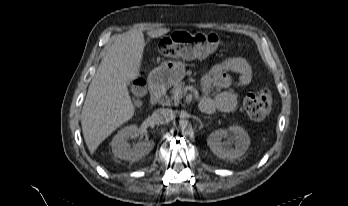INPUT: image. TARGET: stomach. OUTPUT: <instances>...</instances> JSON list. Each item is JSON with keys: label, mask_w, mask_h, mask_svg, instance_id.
<instances>
[{"label": "stomach", "mask_w": 348, "mask_h": 206, "mask_svg": "<svg viewBox=\"0 0 348 206\" xmlns=\"http://www.w3.org/2000/svg\"><path fill=\"white\" fill-rule=\"evenodd\" d=\"M187 39L182 42L185 57L205 58L212 47L217 45L216 41L208 40L207 35H186ZM185 76V66L181 61L168 60L152 70L150 77L161 86H171L180 82Z\"/></svg>", "instance_id": "obj_1"}]
</instances>
